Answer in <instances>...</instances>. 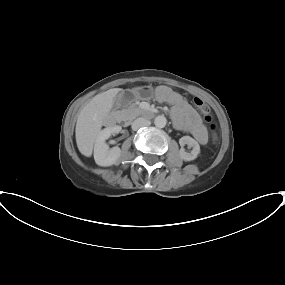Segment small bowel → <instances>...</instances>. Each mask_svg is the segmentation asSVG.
<instances>
[{"label":"small bowel","instance_id":"c3829d8e","mask_svg":"<svg viewBox=\"0 0 285 285\" xmlns=\"http://www.w3.org/2000/svg\"><path fill=\"white\" fill-rule=\"evenodd\" d=\"M155 95L158 101L171 105V115L176 128L191 134L201 145L207 143V131L200 116L183 96L167 86H159Z\"/></svg>","mask_w":285,"mask_h":285}]
</instances>
